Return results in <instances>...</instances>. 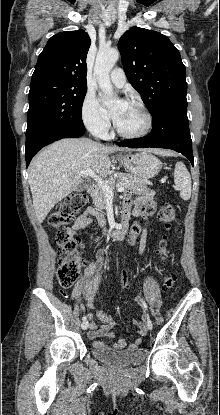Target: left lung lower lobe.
Here are the masks:
<instances>
[{
	"label": "left lung lower lobe",
	"instance_id": "obj_1",
	"mask_svg": "<svg viewBox=\"0 0 220 415\" xmlns=\"http://www.w3.org/2000/svg\"><path fill=\"white\" fill-rule=\"evenodd\" d=\"M118 146L131 148H165L172 149L187 157L192 166L194 158L192 140L187 117V100H179L164 105L152 116V131L145 137L128 139Z\"/></svg>",
	"mask_w": 220,
	"mask_h": 415
}]
</instances>
